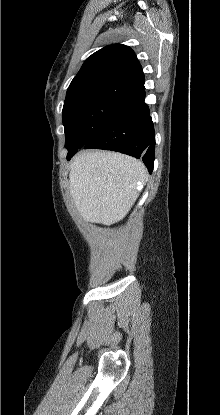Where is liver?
Listing matches in <instances>:
<instances>
[{
    "label": "liver",
    "mask_w": 220,
    "mask_h": 415,
    "mask_svg": "<svg viewBox=\"0 0 220 415\" xmlns=\"http://www.w3.org/2000/svg\"><path fill=\"white\" fill-rule=\"evenodd\" d=\"M148 179L144 164L127 155L83 151L70 167V193L83 220L112 225L121 221Z\"/></svg>",
    "instance_id": "1"
}]
</instances>
